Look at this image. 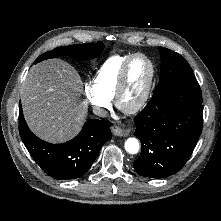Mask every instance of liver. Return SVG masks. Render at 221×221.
Returning a JSON list of instances; mask_svg holds the SVG:
<instances>
[{
    "label": "liver",
    "mask_w": 221,
    "mask_h": 221,
    "mask_svg": "<svg viewBox=\"0 0 221 221\" xmlns=\"http://www.w3.org/2000/svg\"><path fill=\"white\" fill-rule=\"evenodd\" d=\"M82 90L78 72L63 60L33 66L21 88L23 113L32 132L51 143L75 137L87 116V103L78 97Z\"/></svg>",
    "instance_id": "obj_1"
}]
</instances>
